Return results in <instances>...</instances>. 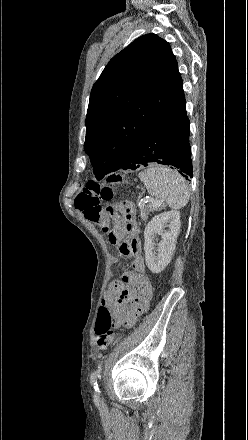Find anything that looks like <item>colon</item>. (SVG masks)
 <instances>
[{
    "instance_id": "5ec220e1",
    "label": "colon",
    "mask_w": 248,
    "mask_h": 440,
    "mask_svg": "<svg viewBox=\"0 0 248 440\" xmlns=\"http://www.w3.org/2000/svg\"><path fill=\"white\" fill-rule=\"evenodd\" d=\"M120 181L121 176L119 175L108 177L105 184L98 181H88L85 188L75 198V207L84 214L86 219L98 224L105 232H108L112 244H117L120 240L111 223L115 206L109 204L103 209L100 202L101 200L108 201L111 199L112 189L110 185ZM121 209H123V203ZM114 319L108 307L104 305L100 307L95 331L97 334V348L101 355L107 353L115 342L116 334L111 329Z\"/></svg>"
}]
</instances>
